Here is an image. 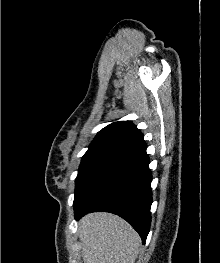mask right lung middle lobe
Wrapping results in <instances>:
<instances>
[{"label": "right lung middle lobe", "instance_id": "right-lung-middle-lobe-1", "mask_svg": "<svg viewBox=\"0 0 220 263\" xmlns=\"http://www.w3.org/2000/svg\"><path fill=\"white\" fill-rule=\"evenodd\" d=\"M117 153L109 151L86 152L82 157L75 186L74 203L79 199L99 170Z\"/></svg>", "mask_w": 220, "mask_h": 263}]
</instances>
